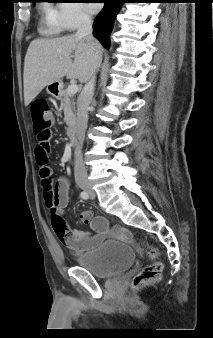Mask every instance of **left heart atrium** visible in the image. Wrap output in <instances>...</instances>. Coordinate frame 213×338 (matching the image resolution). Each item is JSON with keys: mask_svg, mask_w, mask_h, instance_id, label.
<instances>
[{"mask_svg": "<svg viewBox=\"0 0 213 338\" xmlns=\"http://www.w3.org/2000/svg\"><path fill=\"white\" fill-rule=\"evenodd\" d=\"M86 5L91 12H96L100 8L99 3H86Z\"/></svg>", "mask_w": 213, "mask_h": 338, "instance_id": "39dd6f15", "label": "left heart atrium"}]
</instances>
